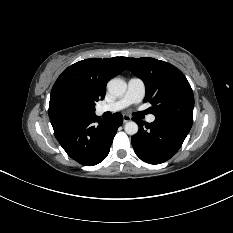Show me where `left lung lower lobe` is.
Instances as JSON below:
<instances>
[{"mask_svg":"<svg viewBox=\"0 0 233 233\" xmlns=\"http://www.w3.org/2000/svg\"><path fill=\"white\" fill-rule=\"evenodd\" d=\"M139 131L132 137L137 156L150 164H160L170 159L181 147L191 127L181 123L156 118L153 123L134 120Z\"/></svg>","mask_w":233,"mask_h":233,"instance_id":"left-lung-lower-lobe-1","label":"left lung lower lobe"}]
</instances>
